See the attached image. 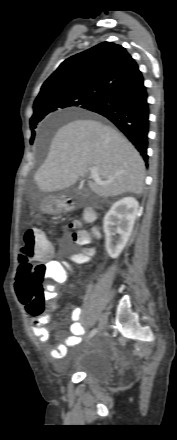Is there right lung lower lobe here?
<instances>
[{
  "mask_svg": "<svg viewBox=\"0 0 177 440\" xmlns=\"http://www.w3.org/2000/svg\"><path fill=\"white\" fill-rule=\"evenodd\" d=\"M141 72L86 109L113 122L148 161L149 105Z\"/></svg>",
  "mask_w": 177,
  "mask_h": 440,
  "instance_id": "obj_1",
  "label": "right lung lower lobe"
}]
</instances>
